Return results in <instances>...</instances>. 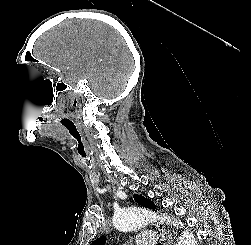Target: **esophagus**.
<instances>
[{"label":"esophagus","instance_id":"esophagus-1","mask_svg":"<svg viewBox=\"0 0 251 245\" xmlns=\"http://www.w3.org/2000/svg\"><path fill=\"white\" fill-rule=\"evenodd\" d=\"M155 228L160 232V234L165 238L164 245H172L173 236L170 231H168L164 226L155 224Z\"/></svg>","mask_w":251,"mask_h":245}]
</instances>
